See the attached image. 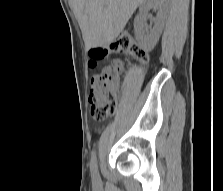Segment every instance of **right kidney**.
<instances>
[{
  "instance_id": "ca27d5eb",
  "label": "right kidney",
  "mask_w": 223,
  "mask_h": 191,
  "mask_svg": "<svg viewBox=\"0 0 223 191\" xmlns=\"http://www.w3.org/2000/svg\"><path fill=\"white\" fill-rule=\"evenodd\" d=\"M167 0H145L140 6V14L136 17L134 28L135 36L141 48L151 51L157 44L165 22V9ZM152 8L158 10L155 26L151 31L145 24L148 11Z\"/></svg>"
}]
</instances>
